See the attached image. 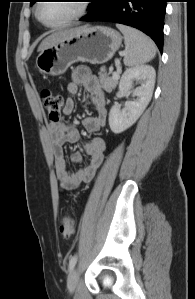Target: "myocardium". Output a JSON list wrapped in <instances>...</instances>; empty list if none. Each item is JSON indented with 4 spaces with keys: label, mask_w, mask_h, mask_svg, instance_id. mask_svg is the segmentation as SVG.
<instances>
[{
    "label": "myocardium",
    "mask_w": 195,
    "mask_h": 299,
    "mask_svg": "<svg viewBox=\"0 0 195 299\" xmlns=\"http://www.w3.org/2000/svg\"><path fill=\"white\" fill-rule=\"evenodd\" d=\"M41 4H42L41 2L37 3V5L35 7V16L41 24H43L45 27H48V28L64 27V26H66V25H68V24H70V23H72L76 20L81 19L87 13V10H88V7H89L86 0H78V10L73 16L67 18L66 20H64L60 23L48 24V23L44 22L40 17L39 10H40Z\"/></svg>",
    "instance_id": "myocardium-1"
}]
</instances>
